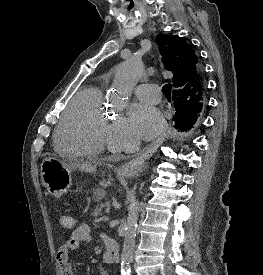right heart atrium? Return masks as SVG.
Here are the masks:
<instances>
[{
  "label": "right heart atrium",
  "mask_w": 263,
  "mask_h": 275,
  "mask_svg": "<svg viewBox=\"0 0 263 275\" xmlns=\"http://www.w3.org/2000/svg\"><path fill=\"white\" fill-rule=\"evenodd\" d=\"M108 143L114 150L130 147L133 140L125 133L123 125L116 122L108 128Z\"/></svg>",
  "instance_id": "d8ad5b80"
}]
</instances>
